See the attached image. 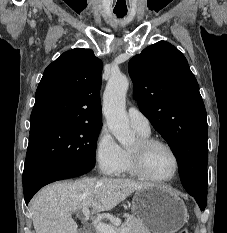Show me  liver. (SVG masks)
<instances>
[{"mask_svg": "<svg viewBox=\"0 0 227 233\" xmlns=\"http://www.w3.org/2000/svg\"><path fill=\"white\" fill-rule=\"evenodd\" d=\"M153 186L119 178H84L46 186L32 199L30 210L36 233H78L72 213L84 207L93 213L109 211L133 192Z\"/></svg>", "mask_w": 227, "mask_h": 233, "instance_id": "obj_1", "label": "liver"}]
</instances>
